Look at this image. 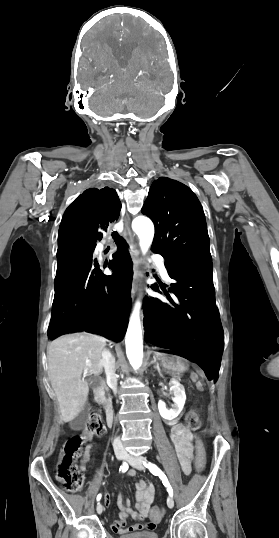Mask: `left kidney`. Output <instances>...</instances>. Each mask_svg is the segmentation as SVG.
<instances>
[{"label":"left kidney","instance_id":"obj_1","mask_svg":"<svg viewBox=\"0 0 279 538\" xmlns=\"http://www.w3.org/2000/svg\"><path fill=\"white\" fill-rule=\"evenodd\" d=\"M170 392L174 396V398H172L174 404L171 410L166 408L164 402H158V410L160 412V416H162L164 420H174V418H177L180 412H182L186 402L184 386H181V384H172Z\"/></svg>","mask_w":279,"mask_h":538}]
</instances>
